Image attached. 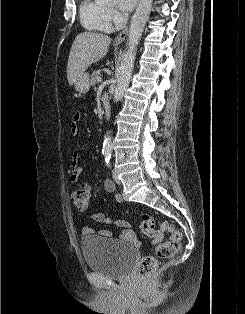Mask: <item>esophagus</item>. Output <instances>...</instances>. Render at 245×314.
I'll list each match as a JSON object with an SVG mask.
<instances>
[{
    "instance_id": "1",
    "label": "esophagus",
    "mask_w": 245,
    "mask_h": 314,
    "mask_svg": "<svg viewBox=\"0 0 245 314\" xmlns=\"http://www.w3.org/2000/svg\"><path fill=\"white\" fill-rule=\"evenodd\" d=\"M128 34V27H126L124 30H122L115 38L114 42L115 43H122L126 36Z\"/></svg>"
}]
</instances>
